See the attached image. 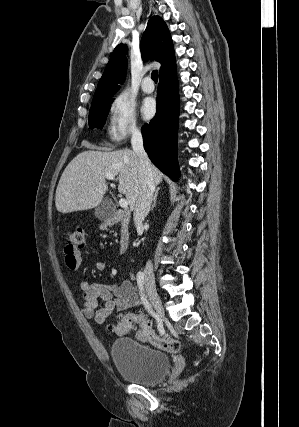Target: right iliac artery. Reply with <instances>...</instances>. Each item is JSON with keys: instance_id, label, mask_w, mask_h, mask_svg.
<instances>
[{"instance_id": "right-iliac-artery-1", "label": "right iliac artery", "mask_w": 299, "mask_h": 427, "mask_svg": "<svg viewBox=\"0 0 299 427\" xmlns=\"http://www.w3.org/2000/svg\"><path fill=\"white\" fill-rule=\"evenodd\" d=\"M137 284H138V288H139V293L142 299V303L145 307V309L148 311L149 314H151L152 316L154 315V311L149 303V301L147 300V297L144 293V273L143 272H138L137 273Z\"/></svg>"}]
</instances>
